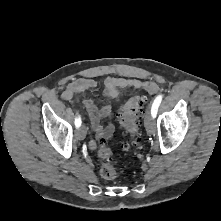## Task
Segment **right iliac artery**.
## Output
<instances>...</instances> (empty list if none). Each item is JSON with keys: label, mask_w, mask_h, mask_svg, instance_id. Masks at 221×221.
I'll return each mask as SVG.
<instances>
[{"label": "right iliac artery", "mask_w": 221, "mask_h": 221, "mask_svg": "<svg viewBox=\"0 0 221 221\" xmlns=\"http://www.w3.org/2000/svg\"><path fill=\"white\" fill-rule=\"evenodd\" d=\"M81 123H82L81 117L78 115V116L75 118V126H76L77 128H79V127L81 126Z\"/></svg>", "instance_id": "right-iliac-artery-1"}]
</instances>
